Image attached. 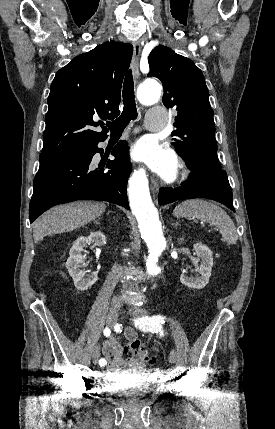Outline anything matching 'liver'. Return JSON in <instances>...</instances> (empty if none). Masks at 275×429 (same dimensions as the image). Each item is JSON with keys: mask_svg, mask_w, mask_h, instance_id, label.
Listing matches in <instances>:
<instances>
[{"mask_svg": "<svg viewBox=\"0 0 275 429\" xmlns=\"http://www.w3.org/2000/svg\"><path fill=\"white\" fill-rule=\"evenodd\" d=\"M106 209L100 202H74L56 206L45 212L33 223V237L36 243L45 236L75 230L95 220Z\"/></svg>", "mask_w": 275, "mask_h": 429, "instance_id": "6515ba94", "label": "liver"}]
</instances>
